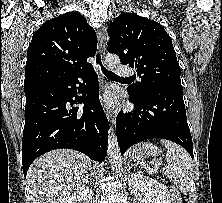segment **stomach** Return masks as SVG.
Returning <instances> with one entry per match:
<instances>
[{
    "instance_id": "0dacf381",
    "label": "stomach",
    "mask_w": 222,
    "mask_h": 203,
    "mask_svg": "<svg viewBox=\"0 0 222 203\" xmlns=\"http://www.w3.org/2000/svg\"><path fill=\"white\" fill-rule=\"evenodd\" d=\"M159 153L158 148L149 143L143 142L136 144L129 151V157L136 161H141L148 156H156Z\"/></svg>"
}]
</instances>
